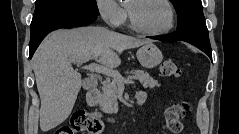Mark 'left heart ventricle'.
<instances>
[{"label":"left heart ventricle","mask_w":239,"mask_h":134,"mask_svg":"<svg viewBox=\"0 0 239 134\" xmlns=\"http://www.w3.org/2000/svg\"><path fill=\"white\" fill-rule=\"evenodd\" d=\"M127 6L131 8L137 23L149 30L164 28L169 21V11L166 6L157 0L135 2L130 0Z\"/></svg>","instance_id":"1"}]
</instances>
